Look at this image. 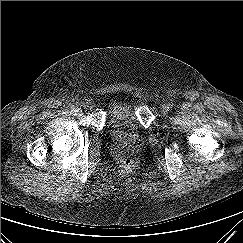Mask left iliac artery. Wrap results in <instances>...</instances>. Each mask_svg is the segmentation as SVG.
<instances>
[{"instance_id": "1", "label": "left iliac artery", "mask_w": 243, "mask_h": 243, "mask_svg": "<svg viewBox=\"0 0 243 243\" xmlns=\"http://www.w3.org/2000/svg\"><path fill=\"white\" fill-rule=\"evenodd\" d=\"M167 107H168V109H172L173 105H172L171 103H169V104L167 105Z\"/></svg>"}]
</instances>
